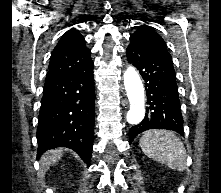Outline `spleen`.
<instances>
[{
  "label": "spleen",
  "mask_w": 221,
  "mask_h": 193,
  "mask_svg": "<svg viewBox=\"0 0 221 193\" xmlns=\"http://www.w3.org/2000/svg\"><path fill=\"white\" fill-rule=\"evenodd\" d=\"M144 154L170 169L184 171L186 168V150L181 140L172 131L147 130L140 140Z\"/></svg>",
  "instance_id": "3e777b00"
}]
</instances>
